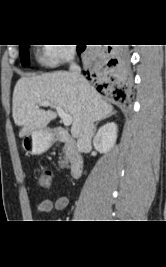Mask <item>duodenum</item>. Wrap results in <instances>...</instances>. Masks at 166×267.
<instances>
[{
    "instance_id": "duodenum-1",
    "label": "duodenum",
    "mask_w": 166,
    "mask_h": 267,
    "mask_svg": "<svg viewBox=\"0 0 166 267\" xmlns=\"http://www.w3.org/2000/svg\"><path fill=\"white\" fill-rule=\"evenodd\" d=\"M52 139L57 142H63L68 146V154L70 158V176L73 179L80 177L84 167V160L76 150V142L74 137L66 129L54 128L52 130Z\"/></svg>"
}]
</instances>
